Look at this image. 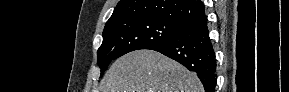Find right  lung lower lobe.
Returning <instances> with one entry per match:
<instances>
[{"mask_svg":"<svg viewBox=\"0 0 289 92\" xmlns=\"http://www.w3.org/2000/svg\"><path fill=\"white\" fill-rule=\"evenodd\" d=\"M149 49L158 51L181 63L188 70L196 72L205 91H215V53L205 14L187 23L183 31L172 39Z\"/></svg>","mask_w":289,"mask_h":92,"instance_id":"98d812e1","label":"right lung lower lobe"}]
</instances>
